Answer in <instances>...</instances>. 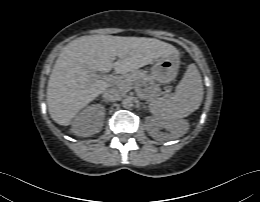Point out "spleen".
<instances>
[{
  "label": "spleen",
  "instance_id": "1",
  "mask_svg": "<svg viewBox=\"0 0 260 202\" xmlns=\"http://www.w3.org/2000/svg\"><path fill=\"white\" fill-rule=\"evenodd\" d=\"M203 94L201 75L195 64H190L174 95L151 101L149 110L159 120H178L187 117L199 108ZM184 133L185 129L181 128L176 137Z\"/></svg>",
  "mask_w": 260,
  "mask_h": 202
}]
</instances>
